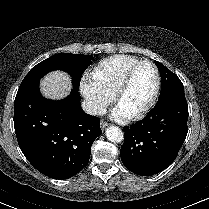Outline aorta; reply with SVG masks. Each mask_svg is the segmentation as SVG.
Wrapping results in <instances>:
<instances>
[{
	"mask_svg": "<svg viewBox=\"0 0 209 209\" xmlns=\"http://www.w3.org/2000/svg\"><path fill=\"white\" fill-rule=\"evenodd\" d=\"M105 133L107 139L113 143H120L124 139L122 130L117 126L108 127Z\"/></svg>",
	"mask_w": 209,
	"mask_h": 209,
	"instance_id": "aorta-1",
	"label": "aorta"
}]
</instances>
